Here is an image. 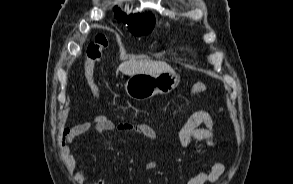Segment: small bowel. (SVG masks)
<instances>
[{"label":"small bowel","instance_id":"small-bowel-1","mask_svg":"<svg viewBox=\"0 0 293 184\" xmlns=\"http://www.w3.org/2000/svg\"><path fill=\"white\" fill-rule=\"evenodd\" d=\"M113 131L136 133L143 135L151 141L156 140L155 131L146 123H115L104 115H97L92 119L83 122H75L64 128L61 135L64 145L63 159L77 184H107V182L103 178L96 180L89 179L87 172L79 165L73 155L71 144L74 139L88 132H91L92 135H96L102 132L111 133ZM214 136V122L210 115L204 111H197L191 114L178 131L179 141L184 147H194L202 142L213 147L215 145ZM195 164L198 172L194 177L189 179L186 184L214 183L225 170L223 163H215L209 169H203L199 164V161H196ZM155 167L156 162L151 161L146 164L145 169L152 170Z\"/></svg>","mask_w":293,"mask_h":184}]
</instances>
